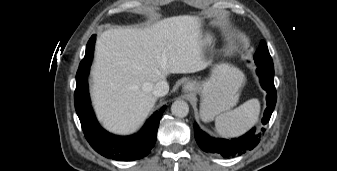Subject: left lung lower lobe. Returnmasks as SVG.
<instances>
[{
	"label": "left lung lower lobe",
	"mask_w": 337,
	"mask_h": 171,
	"mask_svg": "<svg viewBox=\"0 0 337 171\" xmlns=\"http://www.w3.org/2000/svg\"><path fill=\"white\" fill-rule=\"evenodd\" d=\"M257 74L260 78L262 88L267 92V107L262 119V123L265 125L270 120L277 99L276 89L274 86V69L257 66ZM261 130L264 131V128ZM194 131L195 139L202 150L224 158L240 156L247 151L252 150L257 146L261 137V133L254 134L255 129H252L237 139H215L201 131L196 123L194 124Z\"/></svg>",
	"instance_id": "0a47b994"
}]
</instances>
